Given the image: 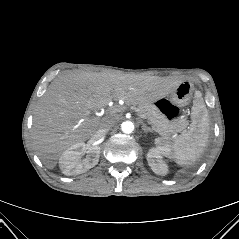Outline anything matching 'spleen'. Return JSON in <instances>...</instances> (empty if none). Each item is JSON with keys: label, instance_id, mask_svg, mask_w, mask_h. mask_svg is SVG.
I'll return each mask as SVG.
<instances>
[{"label": "spleen", "instance_id": "3e777b00", "mask_svg": "<svg viewBox=\"0 0 239 239\" xmlns=\"http://www.w3.org/2000/svg\"><path fill=\"white\" fill-rule=\"evenodd\" d=\"M209 116L200 93H196L191 112V124L187 131L174 137L155 139L156 149L179 166L193 164L203 153L209 138Z\"/></svg>", "mask_w": 239, "mask_h": 239}]
</instances>
